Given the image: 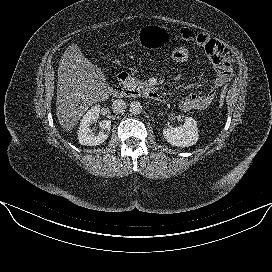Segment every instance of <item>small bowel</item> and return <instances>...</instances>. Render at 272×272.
Listing matches in <instances>:
<instances>
[{
  "instance_id": "small-bowel-1",
  "label": "small bowel",
  "mask_w": 272,
  "mask_h": 272,
  "mask_svg": "<svg viewBox=\"0 0 272 272\" xmlns=\"http://www.w3.org/2000/svg\"><path fill=\"white\" fill-rule=\"evenodd\" d=\"M179 37L202 47L216 71L214 87L205 94L190 93L183 97L179 106L183 111L205 110L216 96V89L226 84L232 77L234 58L229 49L209 35L190 28H181Z\"/></svg>"
}]
</instances>
